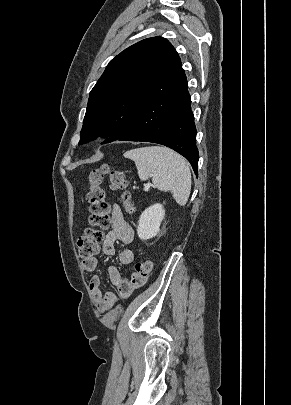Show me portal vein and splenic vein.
<instances>
[{
	"instance_id": "obj_1",
	"label": "portal vein and splenic vein",
	"mask_w": 291,
	"mask_h": 405,
	"mask_svg": "<svg viewBox=\"0 0 291 405\" xmlns=\"http://www.w3.org/2000/svg\"><path fill=\"white\" fill-rule=\"evenodd\" d=\"M149 188H150V186H145L144 190H145V191H148Z\"/></svg>"
}]
</instances>
